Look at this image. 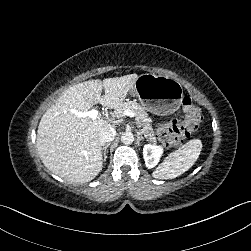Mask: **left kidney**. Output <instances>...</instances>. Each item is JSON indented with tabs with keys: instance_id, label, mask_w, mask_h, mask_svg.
Listing matches in <instances>:
<instances>
[{
	"instance_id": "5707ae66",
	"label": "left kidney",
	"mask_w": 251,
	"mask_h": 251,
	"mask_svg": "<svg viewBox=\"0 0 251 251\" xmlns=\"http://www.w3.org/2000/svg\"><path fill=\"white\" fill-rule=\"evenodd\" d=\"M165 149L156 143H146L143 146V158L148 169H154L164 156Z\"/></svg>"
}]
</instances>
